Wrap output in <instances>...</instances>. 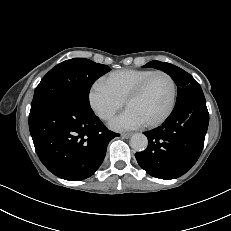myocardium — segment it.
I'll return each mask as SVG.
<instances>
[{
	"mask_svg": "<svg viewBox=\"0 0 231 231\" xmlns=\"http://www.w3.org/2000/svg\"><path fill=\"white\" fill-rule=\"evenodd\" d=\"M156 75H164L166 76L172 85V98L170 105L167 109V111L158 119L145 123L146 127L154 128L162 125L173 113L176 104H177V98H178V85L175 80V78L168 72L163 71V70H155L152 73H150L147 77H145L131 92L130 94L126 97L125 99V106L127 107L128 104L133 101L134 99L138 98L143 91L145 90L146 86L148 83L151 81V79L156 76Z\"/></svg>",
	"mask_w": 231,
	"mask_h": 231,
	"instance_id": "obj_1",
	"label": "myocardium"
}]
</instances>
